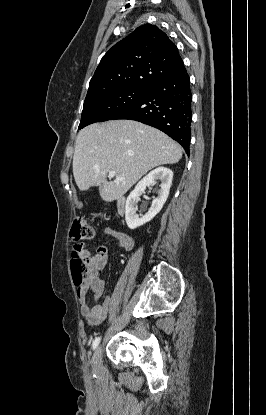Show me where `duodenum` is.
I'll list each match as a JSON object with an SVG mask.
<instances>
[{
    "mask_svg": "<svg viewBox=\"0 0 266 415\" xmlns=\"http://www.w3.org/2000/svg\"><path fill=\"white\" fill-rule=\"evenodd\" d=\"M117 210L119 212V214H123L124 210H125V199L124 198H120L117 201Z\"/></svg>",
    "mask_w": 266,
    "mask_h": 415,
    "instance_id": "1",
    "label": "duodenum"
}]
</instances>
